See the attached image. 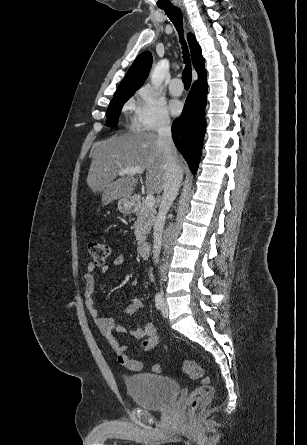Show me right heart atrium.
Instances as JSON below:
<instances>
[{
  "mask_svg": "<svg viewBox=\"0 0 307 445\" xmlns=\"http://www.w3.org/2000/svg\"><path fill=\"white\" fill-rule=\"evenodd\" d=\"M136 125L147 132H160L170 126V116L164 101L149 87L136 95Z\"/></svg>",
  "mask_w": 307,
  "mask_h": 445,
  "instance_id": "obj_1",
  "label": "right heart atrium"
}]
</instances>
